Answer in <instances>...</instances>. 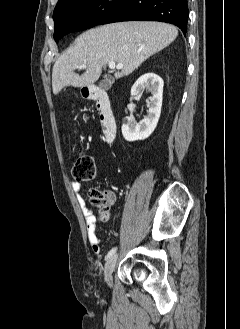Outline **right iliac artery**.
I'll list each match as a JSON object with an SVG mask.
<instances>
[{
	"instance_id": "1",
	"label": "right iliac artery",
	"mask_w": 240,
	"mask_h": 329,
	"mask_svg": "<svg viewBox=\"0 0 240 329\" xmlns=\"http://www.w3.org/2000/svg\"><path fill=\"white\" fill-rule=\"evenodd\" d=\"M116 251H117V247L112 248V249L108 252V254H107V256H106V259H109L110 257H112V256L116 253Z\"/></svg>"
}]
</instances>
